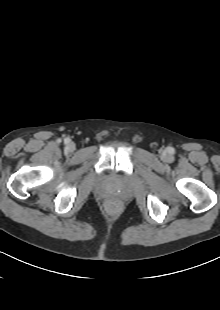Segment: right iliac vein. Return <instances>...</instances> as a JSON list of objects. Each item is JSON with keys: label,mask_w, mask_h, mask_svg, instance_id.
Returning <instances> with one entry per match:
<instances>
[{"label": "right iliac vein", "mask_w": 220, "mask_h": 310, "mask_svg": "<svg viewBox=\"0 0 220 310\" xmlns=\"http://www.w3.org/2000/svg\"><path fill=\"white\" fill-rule=\"evenodd\" d=\"M67 150L68 151H74L75 150V144L73 142H69L67 144Z\"/></svg>", "instance_id": "right-iliac-vein-1"}]
</instances>
